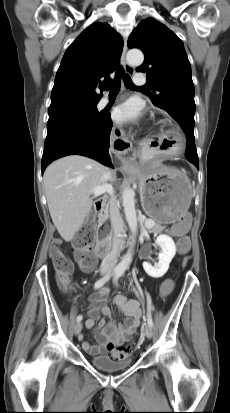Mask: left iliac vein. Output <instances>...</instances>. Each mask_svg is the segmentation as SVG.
<instances>
[{"mask_svg":"<svg viewBox=\"0 0 230 413\" xmlns=\"http://www.w3.org/2000/svg\"><path fill=\"white\" fill-rule=\"evenodd\" d=\"M144 333H145V335H146V337H147L148 339H151L152 336H153L152 328H151L149 325H146V326L144 327Z\"/></svg>","mask_w":230,"mask_h":413,"instance_id":"obj_1","label":"left iliac vein"}]
</instances>
